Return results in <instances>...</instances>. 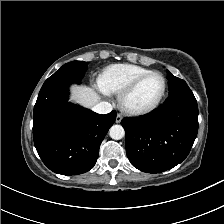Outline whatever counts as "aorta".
Returning a JSON list of instances; mask_svg holds the SVG:
<instances>
[{
	"instance_id": "aorta-1",
	"label": "aorta",
	"mask_w": 224,
	"mask_h": 224,
	"mask_svg": "<svg viewBox=\"0 0 224 224\" xmlns=\"http://www.w3.org/2000/svg\"><path fill=\"white\" fill-rule=\"evenodd\" d=\"M109 135L114 140H120L125 135L124 128L121 125H113L109 129Z\"/></svg>"
}]
</instances>
